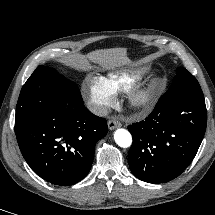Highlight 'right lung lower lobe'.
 Instances as JSON below:
<instances>
[{
    "label": "right lung lower lobe",
    "instance_id": "right-lung-lower-lobe-1",
    "mask_svg": "<svg viewBox=\"0 0 215 215\" xmlns=\"http://www.w3.org/2000/svg\"><path fill=\"white\" fill-rule=\"evenodd\" d=\"M107 131L106 120L84 106L76 85L51 98L16 136L23 157L37 175L67 186L89 173L95 144Z\"/></svg>",
    "mask_w": 215,
    "mask_h": 215
}]
</instances>
